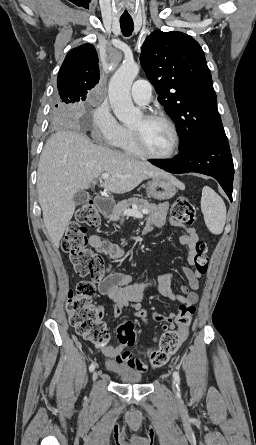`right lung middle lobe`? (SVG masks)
Here are the masks:
<instances>
[{"label":"right lung middle lobe","instance_id":"right-lung-middle-lobe-1","mask_svg":"<svg viewBox=\"0 0 256 445\" xmlns=\"http://www.w3.org/2000/svg\"><path fill=\"white\" fill-rule=\"evenodd\" d=\"M59 96V104L55 106L57 109L52 112V119L55 122L61 123L66 122L69 119V104L84 101V99L76 97L69 91L59 93Z\"/></svg>","mask_w":256,"mask_h":445}]
</instances>
